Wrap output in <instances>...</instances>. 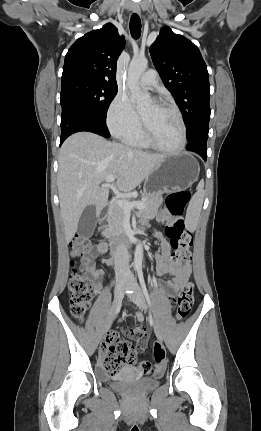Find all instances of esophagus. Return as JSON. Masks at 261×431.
<instances>
[{
  "label": "esophagus",
  "instance_id": "1",
  "mask_svg": "<svg viewBox=\"0 0 261 431\" xmlns=\"http://www.w3.org/2000/svg\"><path fill=\"white\" fill-rule=\"evenodd\" d=\"M132 9H133V11H134L135 13H137V14H140V13H141V9H140L139 5H137V4H134V5L132 6Z\"/></svg>",
  "mask_w": 261,
  "mask_h": 431
}]
</instances>
